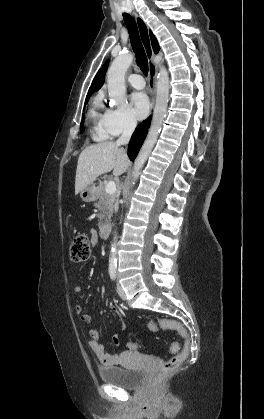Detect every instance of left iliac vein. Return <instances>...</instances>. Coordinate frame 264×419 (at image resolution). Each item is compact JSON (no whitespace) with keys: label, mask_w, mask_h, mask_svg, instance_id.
<instances>
[{"label":"left iliac vein","mask_w":264,"mask_h":419,"mask_svg":"<svg viewBox=\"0 0 264 419\" xmlns=\"http://www.w3.org/2000/svg\"><path fill=\"white\" fill-rule=\"evenodd\" d=\"M117 292L122 299H125L126 295L120 283H117Z\"/></svg>","instance_id":"obj_1"}]
</instances>
